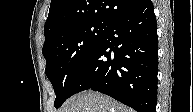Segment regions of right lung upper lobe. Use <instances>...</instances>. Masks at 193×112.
Wrapping results in <instances>:
<instances>
[{
  "instance_id": "obj_1",
  "label": "right lung upper lobe",
  "mask_w": 193,
  "mask_h": 112,
  "mask_svg": "<svg viewBox=\"0 0 193 112\" xmlns=\"http://www.w3.org/2000/svg\"><path fill=\"white\" fill-rule=\"evenodd\" d=\"M142 0H51L44 26L45 42L59 31L80 23L108 26Z\"/></svg>"
}]
</instances>
